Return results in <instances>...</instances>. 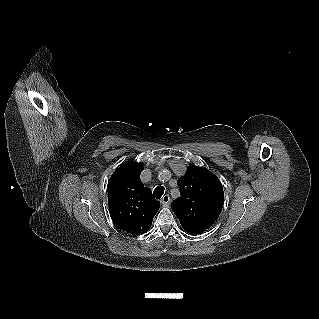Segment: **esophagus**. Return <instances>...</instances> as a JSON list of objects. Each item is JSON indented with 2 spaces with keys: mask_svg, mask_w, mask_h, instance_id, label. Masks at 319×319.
I'll use <instances>...</instances> for the list:
<instances>
[{
  "mask_svg": "<svg viewBox=\"0 0 319 319\" xmlns=\"http://www.w3.org/2000/svg\"><path fill=\"white\" fill-rule=\"evenodd\" d=\"M160 202H161V204L163 205V206H168L169 204H170V197H169V195H164L162 198H161V200H160Z\"/></svg>",
  "mask_w": 319,
  "mask_h": 319,
  "instance_id": "1",
  "label": "esophagus"
}]
</instances>
